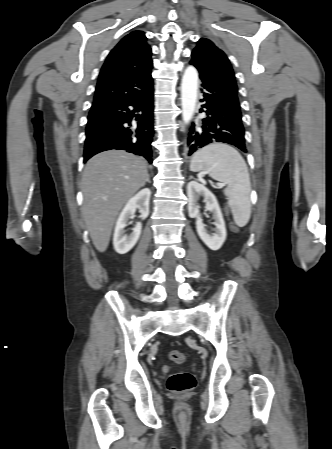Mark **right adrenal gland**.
I'll return each mask as SVG.
<instances>
[{"instance_id": "1", "label": "right adrenal gland", "mask_w": 332, "mask_h": 449, "mask_svg": "<svg viewBox=\"0 0 332 449\" xmlns=\"http://www.w3.org/2000/svg\"><path fill=\"white\" fill-rule=\"evenodd\" d=\"M147 182L150 183L149 175H148V177H147Z\"/></svg>"}]
</instances>
